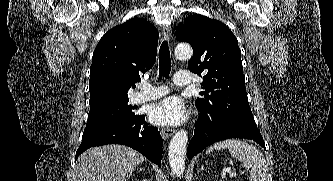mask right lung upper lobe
Masks as SVG:
<instances>
[{
    "label": "right lung upper lobe",
    "mask_w": 333,
    "mask_h": 181,
    "mask_svg": "<svg viewBox=\"0 0 333 181\" xmlns=\"http://www.w3.org/2000/svg\"><path fill=\"white\" fill-rule=\"evenodd\" d=\"M158 37L144 19H130L106 32L93 53L90 109L128 99V90L155 63Z\"/></svg>",
    "instance_id": "1"
}]
</instances>
